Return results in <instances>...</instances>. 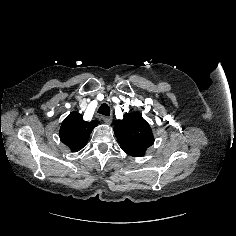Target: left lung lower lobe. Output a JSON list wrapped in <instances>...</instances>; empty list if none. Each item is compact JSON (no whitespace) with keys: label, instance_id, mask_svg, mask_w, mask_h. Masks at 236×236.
Returning <instances> with one entry per match:
<instances>
[{"label":"left lung lower lobe","instance_id":"0a47b994","mask_svg":"<svg viewBox=\"0 0 236 236\" xmlns=\"http://www.w3.org/2000/svg\"><path fill=\"white\" fill-rule=\"evenodd\" d=\"M127 154L134 156V157H141L144 155V153H127Z\"/></svg>","mask_w":236,"mask_h":236}]
</instances>
